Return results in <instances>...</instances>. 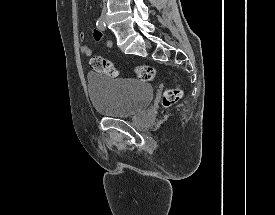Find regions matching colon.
Wrapping results in <instances>:
<instances>
[{"label": "colon", "instance_id": "1", "mask_svg": "<svg viewBox=\"0 0 275 215\" xmlns=\"http://www.w3.org/2000/svg\"><path fill=\"white\" fill-rule=\"evenodd\" d=\"M90 67L92 70L105 74L108 76H114L116 70L113 67L112 63L102 56H93L90 59ZM136 77L144 82H152L157 76V71L155 68L143 65L137 66L134 69ZM182 89L179 86H174L165 90L162 98V104L164 107H169L180 100L182 97Z\"/></svg>", "mask_w": 275, "mask_h": 215}]
</instances>
